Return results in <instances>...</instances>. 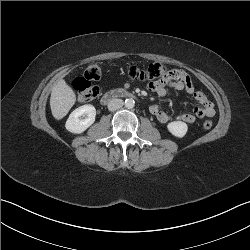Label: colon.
I'll return each mask as SVG.
<instances>
[{
    "mask_svg": "<svg viewBox=\"0 0 250 250\" xmlns=\"http://www.w3.org/2000/svg\"><path fill=\"white\" fill-rule=\"evenodd\" d=\"M166 72H170L160 63H152L145 68L131 66L127 69V74L131 79L139 81L154 80L157 82ZM102 75L101 67L97 63L90 64L84 72V75L77 77L73 82V87L80 102H90L94 100L98 94V87L91 84V81L100 79ZM213 122L205 120L203 128L211 129Z\"/></svg>",
    "mask_w": 250,
    "mask_h": 250,
    "instance_id": "1",
    "label": "colon"
}]
</instances>
